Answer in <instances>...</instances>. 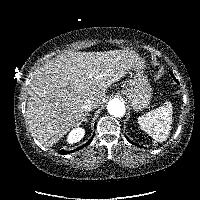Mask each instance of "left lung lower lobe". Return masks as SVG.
<instances>
[{"label": "left lung lower lobe", "instance_id": "0a47b994", "mask_svg": "<svg viewBox=\"0 0 200 200\" xmlns=\"http://www.w3.org/2000/svg\"><path fill=\"white\" fill-rule=\"evenodd\" d=\"M170 74H171V76L175 79V81H177V79L175 78V76H174L172 73H170ZM177 82H178V81H177ZM127 140H128L130 143H132V144L135 145V143L131 142L128 138H127Z\"/></svg>", "mask_w": 200, "mask_h": 200}]
</instances>
